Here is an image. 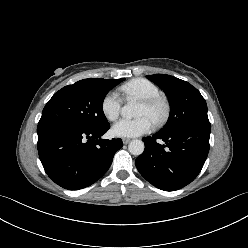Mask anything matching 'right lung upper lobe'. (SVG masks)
Instances as JSON below:
<instances>
[{
  "label": "right lung upper lobe",
  "mask_w": 248,
  "mask_h": 248,
  "mask_svg": "<svg viewBox=\"0 0 248 248\" xmlns=\"http://www.w3.org/2000/svg\"><path fill=\"white\" fill-rule=\"evenodd\" d=\"M88 80H90V81H100V80H102V79H99V78H94V79H88Z\"/></svg>",
  "instance_id": "cb5924a9"
}]
</instances>
